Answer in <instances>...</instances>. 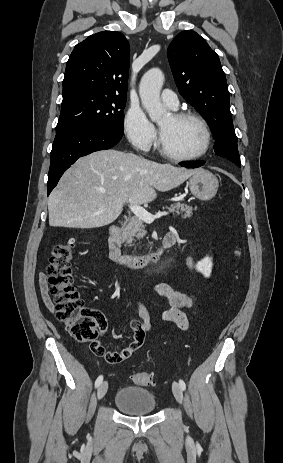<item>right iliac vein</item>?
<instances>
[{
	"mask_svg": "<svg viewBox=\"0 0 283 463\" xmlns=\"http://www.w3.org/2000/svg\"><path fill=\"white\" fill-rule=\"evenodd\" d=\"M107 389H108L107 381H104L99 385L98 391H97V397L99 400H101L105 396Z\"/></svg>",
	"mask_w": 283,
	"mask_h": 463,
	"instance_id": "obj_1",
	"label": "right iliac vein"
}]
</instances>
